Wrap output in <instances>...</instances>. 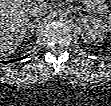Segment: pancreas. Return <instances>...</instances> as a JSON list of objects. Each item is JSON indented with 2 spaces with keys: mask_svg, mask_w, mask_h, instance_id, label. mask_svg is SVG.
I'll return each mask as SVG.
<instances>
[{
  "mask_svg": "<svg viewBox=\"0 0 111 106\" xmlns=\"http://www.w3.org/2000/svg\"><path fill=\"white\" fill-rule=\"evenodd\" d=\"M82 3L87 12L95 15L107 16L109 22H111V13L104 0H83Z\"/></svg>",
  "mask_w": 111,
  "mask_h": 106,
  "instance_id": "1",
  "label": "pancreas"
}]
</instances>
